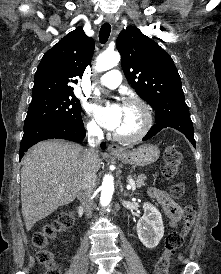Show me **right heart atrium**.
I'll list each match as a JSON object with an SVG mask.
<instances>
[{
	"mask_svg": "<svg viewBox=\"0 0 221 274\" xmlns=\"http://www.w3.org/2000/svg\"><path fill=\"white\" fill-rule=\"evenodd\" d=\"M86 129L89 134L98 136L101 134V128L95 120H90L86 124Z\"/></svg>",
	"mask_w": 221,
	"mask_h": 274,
	"instance_id": "1",
	"label": "right heart atrium"
}]
</instances>
